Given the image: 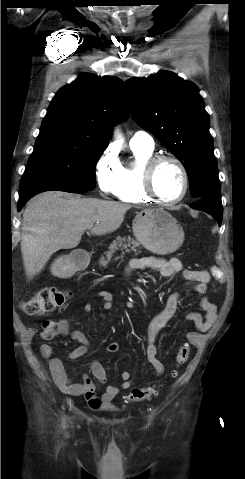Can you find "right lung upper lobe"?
Returning a JSON list of instances; mask_svg holds the SVG:
<instances>
[{"instance_id": "cb5924a9", "label": "right lung upper lobe", "mask_w": 245, "mask_h": 479, "mask_svg": "<svg viewBox=\"0 0 245 479\" xmlns=\"http://www.w3.org/2000/svg\"><path fill=\"white\" fill-rule=\"evenodd\" d=\"M128 114L122 80L83 73L55 95L40 131H63L107 147L113 125Z\"/></svg>"}]
</instances>
